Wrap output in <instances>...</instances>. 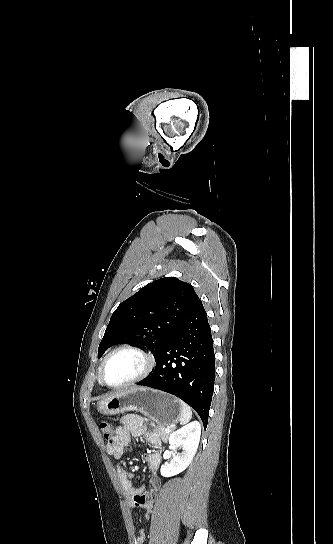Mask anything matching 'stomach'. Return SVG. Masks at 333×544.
Returning a JSON list of instances; mask_svg holds the SVG:
<instances>
[{
	"label": "stomach",
	"mask_w": 333,
	"mask_h": 544,
	"mask_svg": "<svg viewBox=\"0 0 333 544\" xmlns=\"http://www.w3.org/2000/svg\"><path fill=\"white\" fill-rule=\"evenodd\" d=\"M97 409L105 415L138 411L147 418H152L158 426L178 422L181 414L178 399L165 392L145 387L120 391L100 401Z\"/></svg>",
	"instance_id": "1"
}]
</instances>
